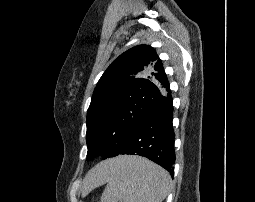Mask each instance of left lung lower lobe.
<instances>
[{
    "instance_id": "left-lung-lower-lobe-1",
    "label": "left lung lower lobe",
    "mask_w": 255,
    "mask_h": 202,
    "mask_svg": "<svg viewBox=\"0 0 255 202\" xmlns=\"http://www.w3.org/2000/svg\"><path fill=\"white\" fill-rule=\"evenodd\" d=\"M173 101L168 96L140 123L119 154L144 156L174 175ZM118 154V155H119Z\"/></svg>"
}]
</instances>
